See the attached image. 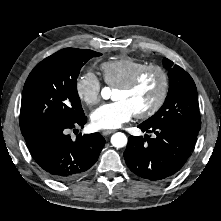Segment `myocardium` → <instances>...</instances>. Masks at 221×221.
Segmentation results:
<instances>
[{"label": "myocardium", "mask_w": 221, "mask_h": 221, "mask_svg": "<svg viewBox=\"0 0 221 221\" xmlns=\"http://www.w3.org/2000/svg\"><path fill=\"white\" fill-rule=\"evenodd\" d=\"M150 71H155L161 78L160 92L154 103L146 110L138 112L135 116L139 119H146L153 116L163 106L170 89V77L167 71L158 64H147L140 68L130 79L115 87L116 90L128 91L134 88L140 80Z\"/></svg>", "instance_id": "f54148a6"}]
</instances>
